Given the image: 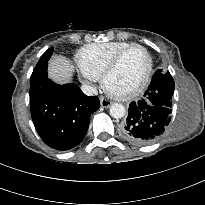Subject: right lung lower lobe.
<instances>
[{
	"mask_svg": "<svg viewBox=\"0 0 205 205\" xmlns=\"http://www.w3.org/2000/svg\"><path fill=\"white\" fill-rule=\"evenodd\" d=\"M49 48L30 78V109L34 126L45 144L68 150L84 138L90 115L100 108L96 96H86L75 84L58 85L47 78Z\"/></svg>",
	"mask_w": 205,
	"mask_h": 205,
	"instance_id": "98d812e1",
	"label": "right lung lower lobe"
}]
</instances>
